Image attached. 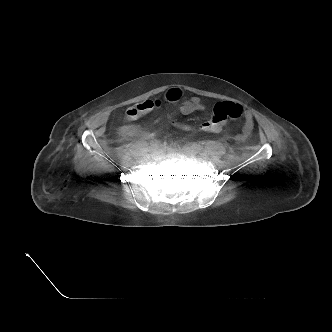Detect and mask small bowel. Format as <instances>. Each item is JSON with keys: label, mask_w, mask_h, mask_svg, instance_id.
Returning <instances> with one entry per match:
<instances>
[{"label": "small bowel", "mask_w": 332, "mask_h": 332, "mask_svg": "<svg viewBox=\"0 0 332 332\" xmlns=\"http://www.w3.org/2000/svg\"><path fill=\"white\" fill-rule=\"evenodd\" d=\"M170 95H175L176 96L175 99L181 98V92L178 89L171 90L168 96ZM205 109H206L205 105L202 103L201 99L198 96H191L189 98H184L181 100L180 112L183 115H190L193 112L204 111ZM253 126L254 124L251 115L249 113H246L245 122L242 126L240 137L241 138L247 137L252 132Z\"/></svg>", "instance_id": "obj_1"}]
</instances>
